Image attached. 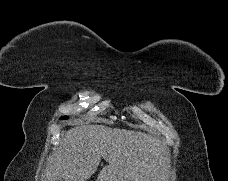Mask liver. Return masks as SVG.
Masks as SVG:
<instances>
[{
    "label": "liver",
    "instance_id": "obj_1",
    "mask_svg": "<svg viewBox=\"0 0 228 181\" xmlns=\"http://www.w3.org/2000/svg\"><path fill=\"white\" fill-rule=\"evenodd\" d=\"M101 159L107 163L98 175L101 181H163L170 167V153L157 137L80 123L65 133L42 179L88 181Z\"/></svg>",
    "mask_w": 228,
    "mask_h": 181
}]
</instances>
